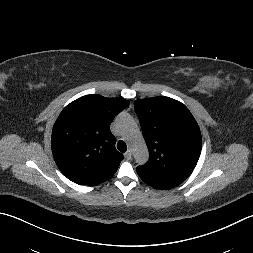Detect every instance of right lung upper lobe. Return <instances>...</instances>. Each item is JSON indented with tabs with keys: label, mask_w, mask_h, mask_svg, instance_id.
Masks as SVG:
<instances>
[{
	"label": "right lung upper lobe",
	"mask_w": 253,
	"mask_h": 253,
	"mask_svg": "<svg viewBox=\"0 0 253 253\" xmlns=\"http://www.w3.org/2000/svg\"><path fill=\"white\" fill-rule=\"evenodd\" d=\"M129 105L123 98L86 95L67 105L52 131V153L60 171L80 185H97L117 171L123 155L110 131L114 117Z\"/></svg>",
	"instance_id": "obj_1"
}]
</instances>
